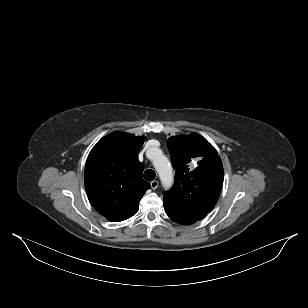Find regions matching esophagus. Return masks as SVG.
<instances>
[{
  "label": "esophagus",
  "instance_id": "1",
  "mask_svg": "<svg viewBox=\"0 0 308 308\" xmlns=\"http://www.w3.org/2000/svg\"><path fill=\"white\" fill-rule=\"evenodd\" d=\"M150 185H151V188H152L153 190H155V189L158 188L159 183H158V181L154 180V181H152V182L150 183Z\"/></svg>",
  "mask_w": 308,
  "mask_h": 308
}]
</instances>
